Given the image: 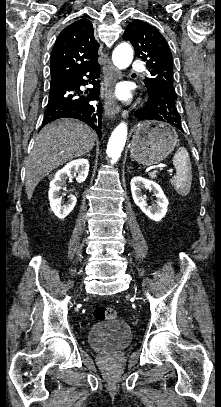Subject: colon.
I'll list each match as a JSON object with an SVG mask.
<instances>
[{"label": "colon", "mask_w": 221, "mask_h": 407, "mask_svg": "<svg viewBox=\"0 0 221 407\" xmlns=\"http://www.w3.org/2000/svg\"><path fill=\"white\" fill-rule=\"evenodd\" d=\"M94 318L97 321L114 320L116 318V311L110 307L97 306L94 309Z\"/></svg>", "instance_id": "obj_1"}]
</instances>
